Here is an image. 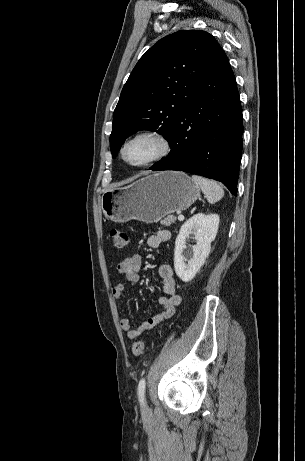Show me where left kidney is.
I'll use <instances>...</instances> for the list:
<instances>
[{"instance_id": "obj_1", "label": "left kidney", "mask_w": 305, "mask_h": 461, "mask_svg": "<svg viewBox=\"0 0 305 461\" xmlns=\"http://www.w3.org/2000/svg\"><path fill=\"white\" fill-rule=\"evenodd\" d=\"M218 227L219 216L217 214L203 213L194 215L181 226L175 241L174 268L182 281H191L204 265ZM190 236L196 240V245L191 249L186 245V239Z\"/></svg>"}]
</instances>
